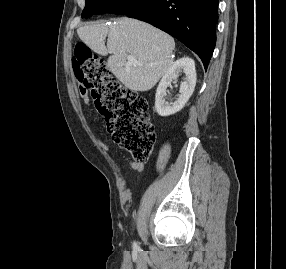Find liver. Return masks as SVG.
<instances>
[{"label": "liver", "mask_w": 286, "mask_h": 269, "mask_svg": "<svg viewBox=\"0 0 286 269\" xmlns=\"http://www.w3.org/2000/svg\"><path fill=\"white\" fill-rule=\"evenodd\" d=\"M77 34L96 53L103 56L111 54L107 67L132 91L153 88L173 63L174 39L136 19L124 17L110 26L94 22L80 27ZM128 55H132L137 63L130 64Z\"/></svg>", "instance_id": "1"}]
</instances>
